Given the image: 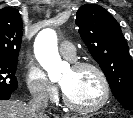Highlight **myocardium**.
<instances>
[{"label":"myocardium","mask_w":133,"mask_h":118,"mask_svg":"<svg viewBox=\"0 0 133 118\" xmlns=\"http://www.w3.org/2000/svg\"><path fill=\"white\" fill-rule=\"evenodd\" d=\"M72 68L76 69V70H81V69L93 70L100 79L103 94H102L101 99L94 105L78 106V105L73 104L69 100V98L67 97L65 92H63L64 105L69 110L76 112V113H93V112H96V111L100 110L101 108H103L108 103V101L110 99L111 89H110L109 80H108L106 74L104 73V71L101 69V67L92 62L79 61V62L73 63Z\"/></svg>","instance_id":"obj_1"}]
</instances>
